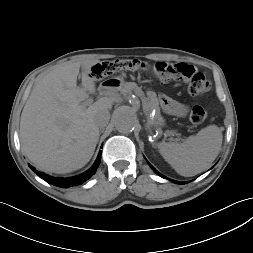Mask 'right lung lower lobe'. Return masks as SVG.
<instances>
[{"mask_svg":"<svg viewBox=\"0 0 253 253\" xmlns=\"http://www.w3.org/2000/svg\"><path fill=\"white\" fill-rule=\"evenodd\" d=\"M101 161V151L99 152V155L94 163V165L85 173L75 176V177H70V178H56L49 176L47 174L41 173L37 171L34 167L29 165V167L42 179H44L46 182L61 187V188H68L70 186H77L79 184H82L86 180H88L97 170L99 164Z\"/></svg>","mask_w":253,"mask_h":253,"instance_id":"98d812e1","label":"right lung lower lobe"}]
</instances>
